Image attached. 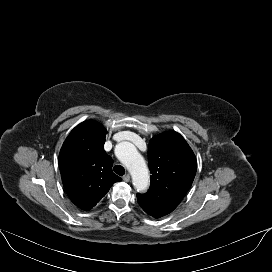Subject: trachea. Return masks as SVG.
Listing matches in <instances>:
<instances>
[{
  "mask_svg": "<svg viewBox=\"0 0 272 272\" xmlns=\"http://www.w3.org/2000/svg\"><path fill=\"white\" fill-rule=\"evenodd\" d=\"M113 171L120 176H123L125 174V169L121 165L114 166Z\"/></svg>",
  "mask_w": 272,
  "mask_h": 272,
  "instance_id": "3493384b",
  "label": "trachea"
}]
</instances>
